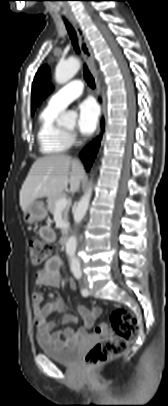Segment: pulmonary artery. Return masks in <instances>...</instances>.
Masks as SVG:
<instances>
[{"instance_id":"obj_1","label":"pulmonary artery","mask_w":168,"mask_h":406,"mask_svg":"<svg viewBox=\"0 0 168 406\" xmlns=\"http://www.w3.org/2000/svg\"><path fill=\"white\" fill-rule=\"evenodd\" d=\"M84 84L81 80H73L57 90L49 99L48 105L56 109H64L70 102L83 92Z\"/></svg>"}]
</instances>
